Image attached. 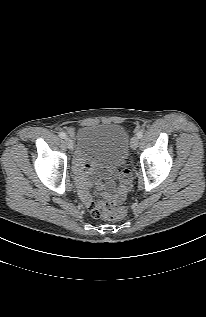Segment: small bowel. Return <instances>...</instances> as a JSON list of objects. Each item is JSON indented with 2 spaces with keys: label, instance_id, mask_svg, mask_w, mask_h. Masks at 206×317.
Segmentation results:
<instances>
[{
  "label": "small bowel",
  "instance_id": "c3829d8e",
  "mask_svg": "<svg viewBox=\"0 0 206 317\" xmlns=\"http://www.w3.org/2000/svg\"><path fill=\"white\" fill-rule=\"evenodd\" d=\"M70 133L72 134L73 131L70 130ZM93 169V166L91 164H84L82 155H79L75 161V172L77 176V184L79 189L80 197L83 201V203L87 206L90 200L92 199V196L89 192L91 188V182L89 181V175L91 174V171ZM130 184V178H129V172L124 171L121 175V185L117 192H115L112 185L108 186V190L111 194H113L117 199H122L127 192Z\"/></svg>",
  "mask_w": 206,
  "mask_h": 317
}]
</instances>
